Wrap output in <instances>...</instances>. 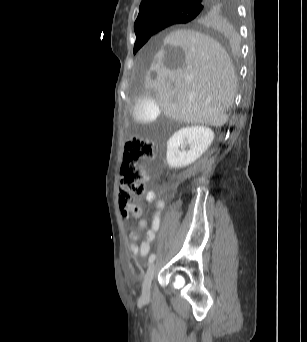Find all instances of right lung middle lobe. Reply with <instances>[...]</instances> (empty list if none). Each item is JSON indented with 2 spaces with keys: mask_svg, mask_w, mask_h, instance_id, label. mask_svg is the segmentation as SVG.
Instances as JSON below:
<instances>
[{
  "mask_svg": "<svg viewBox=\"0 0 307 342\" xmlns=\"http://www.w3.org/2000/svg\"><path fill=\"white\" fill-rule=\"evenodd\" d=\"M199 11L196 9H183L166 14L163 21L156 27L135 33L136 42L134 45V54L148 41L155 33L165 29L168 26L180 23H186L194 19Z\"/></svg>",
  "mask_w": 307,
  "mask_h": 342,
  "instance_id": "obj_1",
  "label": "right lung middle lobe"
}]
</instances>
